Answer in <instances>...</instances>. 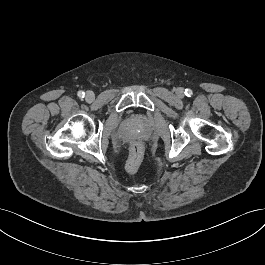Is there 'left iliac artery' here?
Listing matches in <instances>:
<instances>
[{"label":"left iliac artery","mask_w":265,"mask_h":265,"mask_svg":"<svg viewBox=\"0 0 265 265\" xmlns=\"http://www.w3.org/2000/svg\"><path fill=\"white\" fill-rule=\"evenodd\" d=\"M185 94H186V96L190 97L193 94V92L191 89H186Z\"/></svg>","instance_id":"44dca946"}]
</instances>
